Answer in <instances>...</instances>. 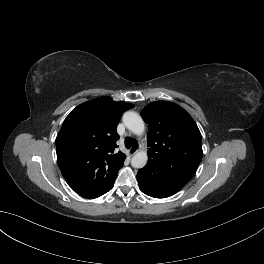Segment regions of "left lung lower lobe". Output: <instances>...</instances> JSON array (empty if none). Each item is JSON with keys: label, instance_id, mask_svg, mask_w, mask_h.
Returning <instances> with one entry per match:
<instances>
[{"label": "left lung lower lobe", "instance_id": "0a47b994", "mask_svg": "<svg viewBox=\"0 0 264 264\" xmlns=\"http://www.w3.org/2000/svg\"><path fill=\"white\" fill-rule=\"evenodd\" d=\"M140 189L148 196L166 198L178 192L189 180L182 174L163 172L159 166L148 161L137 173Z\"/></svg>", "mask_w": 264, "mask_h": 264}]
</instances>
